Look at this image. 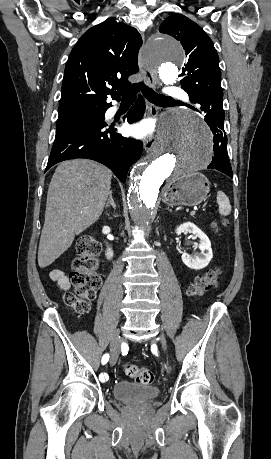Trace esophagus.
<instances>
[{
    "label": "esophagus",
    "instance_id": "1",
    "mask_svg": "<svg viewBox=\"0 0 271 459\" xmlns=\"http://www.w3.org/2000/svg\"><path fill=\"white\" fill-rule=\"evenodd\" d=\"M142 39L144 41V33H141ZM139 62L138 67L141 69L143 74L144 80L149 87L155 88L156 86V78H155V71L152 68L153 62L152 60H143L141 50L139 52ZM146 108H147V117L148 118H157L158 116V107L153 103L146 101ZM156 143V138L154 134L148 135L144 139V149L149 154L152 152Z\"/></svg>",
    "mask_w": 271,
    "mask_h": 459
}]
</instances>
